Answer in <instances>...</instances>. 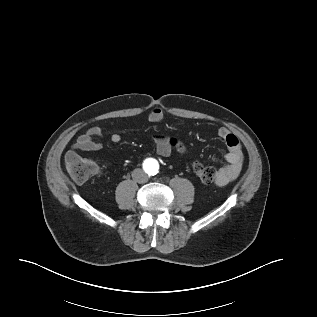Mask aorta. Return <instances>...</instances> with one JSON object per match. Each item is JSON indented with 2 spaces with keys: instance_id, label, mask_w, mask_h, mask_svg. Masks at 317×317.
<instances>
[{
  "instance_id": "aorta-1",
  "label": "aorta",
  "mask_w": 317,
  "mask_h": 317,
  "mask_svg": "<svg viewBox=\"0 0 317 317\" xmlns=\"http://www.w3.org/2000/svg\"><path fill=\"white\" fill-rule=\"evenodd\" d=\"M156 171H157V168L153 169V170H152V173H156Z\"/></svg>"
}]
</instances>
